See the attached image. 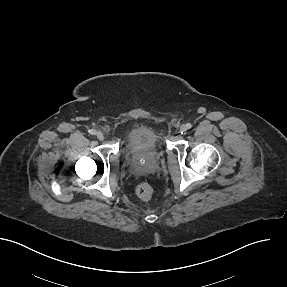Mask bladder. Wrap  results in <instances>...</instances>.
Here are the masks:
<instances>
[{
	"label": "bladder",
	"instance_id": "bladder-1",
	"mask_svg": "<svg viewBox=\"0 0 287 287\" xmlns=\"http://www.w3.org/2000/svg\"><path fill=\"white\" fill-rule=\"evenodd\" d=\"M162 146V138L159 132L149 125L133 127L123 141V152L127 156L152 157Z\"/></svg>",
	"mask_w": 287,
	"mask_h": 287
}]
</instances>
